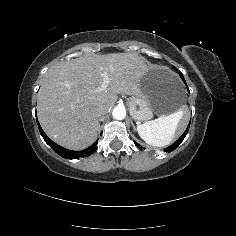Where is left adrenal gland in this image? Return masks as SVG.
Wrapping results in <instances>:
<instances>
[{
	"mask_svg": "<svg viewBox=\"0 0 236 236\" xmlns=\"http://www.w3.org/2000/svg\"><path fill=\"white\" fill-rule=\"evenodd\" d=\"M130 122H131V124H132V126H133V130L137 132V129H136V127H135L133 121L131 120Z\"/></svg>",
	"mask_w": 236,
	"mask_h": 236,
	"instance_id": "1",
	"label": "left adrenal gland"
}]
</instances>
